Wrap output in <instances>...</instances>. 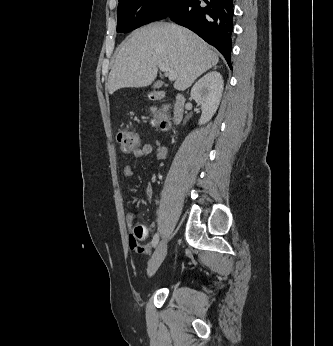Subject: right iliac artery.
I'll return each instance as SVG.
<instances>
[{
  "label": "right iliac artery",
  "mask_w": 333,
  "mask_h": 346,
  "mask_svg": "<svg viewBox=\"0 0 333 346\" xmlns=\"http://www.w3.org/2000/svg\"><path fill=\"white\" fill-rule=\"evenodd\" d=\"M158 242H159V235L156 233L153 237V240H152V247L155 248L157 246Z\"/></svg>",
  "instance_id": "obj_1"
}]
</instances>
